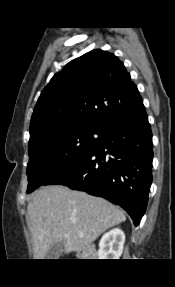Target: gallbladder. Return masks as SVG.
<instances>
[{
    "label": "gallbladder",
    "mask_w": 175,
    "mask_h": 287,
    "mask_svg": "<svg viewBox=\"0 0 175 287\" xmlns=\"http://www.w3.org/2000/svg\"><path fill=\"white\" fill-rule=\"evenodd\" d=\"M64 247V240H61L57 243H54L50 246L47 254L46 259H58Z\"/></svg>",
    "instance_id": "1"
}]
</instances>
